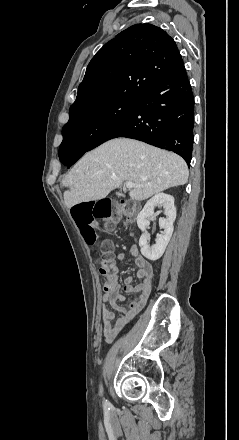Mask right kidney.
<instances>
[{
	"label": "right kidney",
	"instance_id": "ca27d5eb",
	"mask_svg": "<svg viewBox=\"0 0 239 440\" xmlns=\"http://www.w3.org/2000/svg\"><path fill=\"white\" fill-rule=\"evenodd\" d=\"M155 208H164L166 218H159V226L163 228L162 234H157L156 244H148L147 240L150 238V234H147L146 228H148L150 218H154ZM176 220V208L174 206L173 196L169 194H155L151 200H148L143 210L137 216V226L144 232L140 236L139 246L143 250L144 257L158 258L160 253H163L164 248L170 246V238L173 234V224Z\"/></svg>",
	"mask_w": 239,
	"mask_h": 440
}]
</instances>
